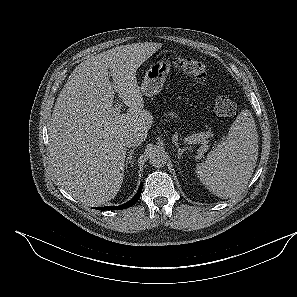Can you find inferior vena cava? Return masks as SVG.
Returning <instances> with one entry per match:
<instances>
[{
  "mask_svg": "<svg viewBox=\"0 0 297 297\" xmlns=\"http://www.w3.org/2000/svg\"><path fill=\"white\" fill-rule=\"evenodd\" d=\"M144 140V137L139 133H132L125 137V146L126 147H135L139 146Z\"/></svg>",
  "mask_w": 297,
  "mask_h": 297,
  "instance_id": "obj_1",
  "label": "inferior vena cava"
}]
</instances>
